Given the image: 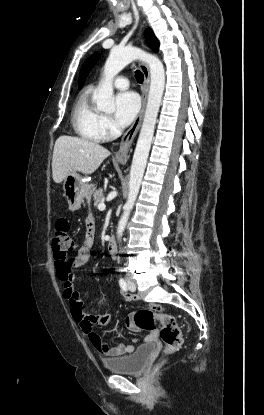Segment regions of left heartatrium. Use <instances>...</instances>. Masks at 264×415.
Wrapping results in <instances>:
<instances>
[{
    "label": "left heart atrium",
    "mask_w": 264,
    "mask_h": 415,
    "mask_svg": "<svg viewBox=\"0 0 264 415\" xmlns=\"http://www.w3.org/2000/svg\"><path fill=\"white\" fill-rule=\"evenodd\" d=\"M114 118L120 126H127L132 122L139 110V99L131 91L121 92L115 98Z\"/></svg>",
    "instance_id": "1"
}]
</instances>
